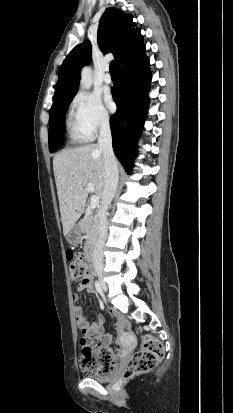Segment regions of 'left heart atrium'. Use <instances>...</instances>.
Wrapping results in <instances>:
<instances>
[{
    "label": "left heart atrium",
    "instance_id": "left-heart-atrium-1",
    "mask_svg": "<svg viewBox=\"0 0 233 413\" xmlns=\"http://www.w3.org/2000/svg\"><path fill=\"white\" fill-rule=\"evenodd\" d=\"M105 102L110 110H113L115 108V103L113 101L111 94L107 93L105 95Z\"/></svg>",
    "mask_w": 233,
    "mask_h": 413
}]
</instances>
